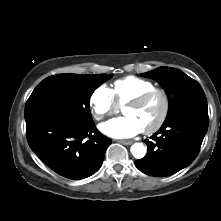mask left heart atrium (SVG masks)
<instances>
[{"mask_svg": "<svg viewBox=\"0 0 221 221\" xmlns=\"http://www.w3.org/2000/svg\"><path fill=\"white\" fill-rule=\"evenodd\" d=\"M99 129L103 134L117 139L133 137L143 130L134 117L126 115L100 124Z\"/></svg>", "mask_w": 221, "mask_h": 221, "instance_id": "1", "label": "left heart atrium"}]
</instances>
